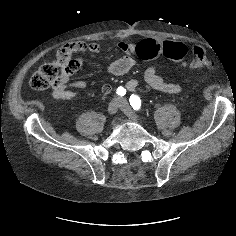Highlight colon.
<instances>
[{
	"label": "colon",
	"instance_id": "obj_1",
	"mask_svg": "<svg viewBox=\"0 0 236 236\" xmlns=\"http://www.w3.org/2000/svg\"><path fill=\"white\" fill-rule=\"evenodd\" d=\"M188 53L186 45L180 42L164 41L154 44L150 41L142 42L138 49L137 55L142 60H151L159 56L181 62L184 66L191 69H198L209 65V60L205 50L201 46L192 48L193 58L186 61ZM72 60V54L64 47L57 51L56 58L52 61L42 64L30 79V86L35 90H44L51 85H57L67 70Z\"/></svg>",
	"mask_w": 236,
	"mask_h": 236
}]
</instances>
